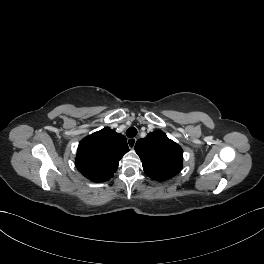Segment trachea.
Listing matches in <instances>:
<instances>
[{
	"instance_id": "obj_1",
	"label": "trachea",
	"mask_w": 264,
	"mask_h": 264,
	"mask_svg": "<svg viewBox=\"0 0 264 264\" xmlns=\"http://www.w3.org/2000/svg\"><path fill=\"white\" fill-rule=\"evenodd\" d=\"M137 134V129L135 127H130L126 131V135L130 138L135 137Z\"/></svg>"
}]
</instances>
